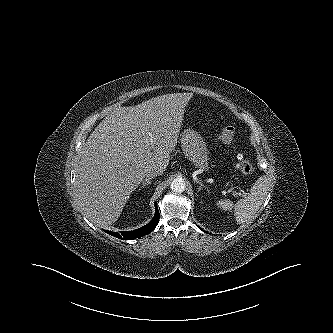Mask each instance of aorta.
Masks as SVG:
<instances>
[{"mask_svg": "<svg viewBox=\"0 0 333 333\" xmlns=\"http://www.w3.org/2000/svg\"><path fill=\"white\" fill-rule=\"evenodd\" d=\"M170 188L173 192L181 193L186 189L185 181L182 178H176L171 182Z\"/></svg>", "mask_w": 333, "mask_h": 333, "instance_id": "762f6f07", "label": "aorta"}]
</instances>
